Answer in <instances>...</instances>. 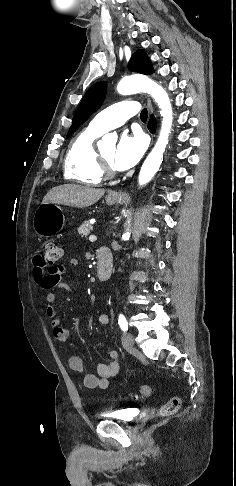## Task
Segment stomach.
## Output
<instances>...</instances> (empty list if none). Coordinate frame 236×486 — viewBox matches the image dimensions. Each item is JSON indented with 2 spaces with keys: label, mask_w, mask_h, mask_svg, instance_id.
Segmentation results:
<instances>
[{
  "label": "stomach",
  "mask_w": 236,
  "mask_h": 486,
  "mask_svg": "<svg viewBox=\"0 0 236 486\" xmlns=\"http://www.w3.org/2000/svg\"><path fill=\"white\" fill-rule=\"evenodd\" d=\"M108 205L117 203L118 198L106 197ZM65 225L61 207L55 203H43L34 213L33 228L40 237H50L60 232Z\"/></svg>",
  "instance_id": "stomach-1"
}]
</instances>
